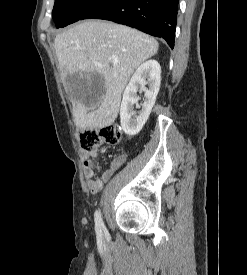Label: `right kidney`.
Returning <instances> with one entry per match:
<instances>
[{
    "label": "right kidney",
    "mask_w": 247,
    "mask_h": 275,
    "mask_svg": "<svg viewBox=\"0 0 247 275\" xmlns=\"http://www.w3.org/2000/svg\"><path fill=\"white\" fill-rule=\"evenodd\" d=\"M161 82V67L156 60H149L140 65L130 79L123 93L120 107V122L123 131L134 136L146 123L155 104ZM148 85L149 88L145 86ZM144 92L145 100L138 105L137 92ZM136 108L141 110L136 113Z\"/></svg>",
    "instance_id": "1"
}]
</instances>
